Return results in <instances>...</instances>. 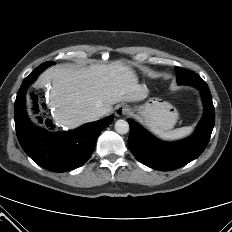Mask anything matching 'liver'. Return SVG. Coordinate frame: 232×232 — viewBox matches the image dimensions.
<instances>
[{
  "instance_id": "obj_1",
  "label": "liver",
  "mask_w": 232,
  "mask_h": 232,
  "mask_svg": "<svg viewBox=\"0 0 232 232\" xmlns=\"http://www.w3.org/2000/svg\"><path fill=\"white\" fill-rule=\"evenodd\" d=\"M51 82L49 105L54 121L75 129L90 122L88 115L97 110L106 114L119 102H136L147 98L148 89L138 83L135 72L121 61L92 64L89 67L58 65L44 71L38 86Z\"/></svg>"
}]
</instances>
